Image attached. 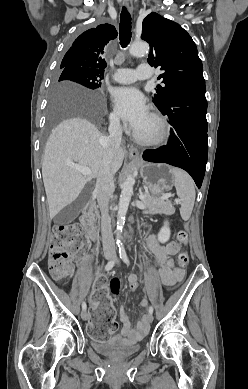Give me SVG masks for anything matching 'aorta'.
Returning <instances> with one entry per match:
<instances>
[{
  "instance_id": "aorta-1",
  "label": "aorta",
  "mask_w": 248,
  "mask_h": 389,
  "mask_svg": "<svg viewBox=\"0 0 248 389\" xmlns=\"http://www.w3.org/2000/svg\"><path fill=\"white\" fill-rule=\"evenodd\" d=\"M149 50V45L146 42H136L133 43L129 49V53L132 56H140L147 53ZM135 179L132 175L127 176L126 180L122 185V191L119 199L118 205V217H117V244L120 246L121 243V232L125 223L126 213L128 206L133 194V186Z\"/></svg>"
}]
</instances>
